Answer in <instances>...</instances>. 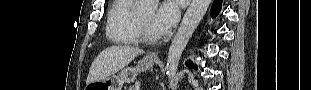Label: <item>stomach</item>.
<instances>
[{
    "mask_svg": "<svg viewBox=\"0 0 311 90\" xmlns=\"http://www.w3.org/2000/svg\"><path fill=\"white\" fill-rule=\"evenodd\" d=\"M157 60L144 57L136 67H127L117 75H110L104 80L92 82L86 86V90H122L125 83L133 82L140 72L150 70Z\"/></svg>",
    "mask_w": 311,
    "mask_h": 90,
    "instance_id": "obj_1",
    "label": "stomach"
}]
</instances>
